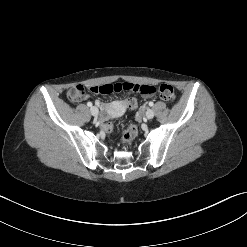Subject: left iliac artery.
Instances as JSON below:
<instances>
[{
  "instance_id": "44dca946",
  "label": "left iliac artery",
  "mask_w": 247,
  "mask_h": 247,
  "mask_svg": "<svg viewBox=\"0 0 247 247\" xmlns=\"http://www.w3.org/2000/svg\"><path fill=\"white\" fill-rule=\"evenodd\" d=\"M154 105V103L151 101V102H149V106H153Z\"/></svg>"
}]
</instances>
